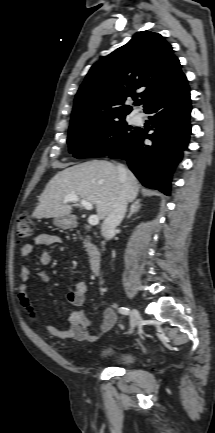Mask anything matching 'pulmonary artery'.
<instances>
[{"label":"pulmonary artery","mask_w":215,"mask_h":433,"mask_svg":"<svg viewBox=\"0 0 215 433\" xmlns=\"http://www.w3.org/2000/svg\"><path fill=\"white\" fill-rule=\"evenodd\" d=\"M134 121L135 122H139L140 121V117L139 116H135Z\"/></svg>","instance_id":"1"}]
</instances>
